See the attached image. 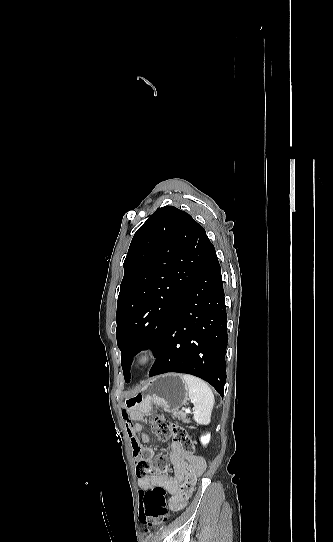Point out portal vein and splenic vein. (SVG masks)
Listing matches in <instances>:
<instances>
[{
	"instance_id": "portal-vein-and-splenic-vein-1",
	"label": "portal vein and splenic vein",
	"mask_w": 333,
	"mask_h": 542,
	"mask_svg": "<svg viewBox=\"0 0 333 542\" xmlns=\"http://www.w3.org/2000/svg\"><path fill=\"white\" fill-rule=\"evenodd\" d=\"M185 412H187V414H188V412H192V410H185Z\"/></svg>"
}]
</instances>
